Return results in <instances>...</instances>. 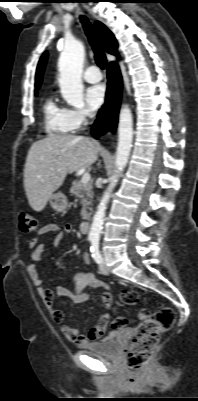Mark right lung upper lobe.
Listing matches in <instances>:
<instances>
[{"label":"right lung upper lobe","instance_id":"right-lung-upper-lobe-1","mask_svg":"<svg viewBox=\"0 0 198 401\" xmlns=\"http://www.w3.org/2000/svg\"><path fill=\"white\" fill-rule=\"evenodd\" d=\"M95 27L101 37V41H102L104 49L110 54H116L117 53V41H116L114 35L112 34V32L104 24H102L99 21L95 22ZM47 56H48V54L44 53L42 55V57L40 58V61L37 66L36 77H35V92L36 93L42 82V77H43V72H44V68L46 65V61H47Z\"/></svg>","mask_w":198,"mask_h":401}]
</instances>
